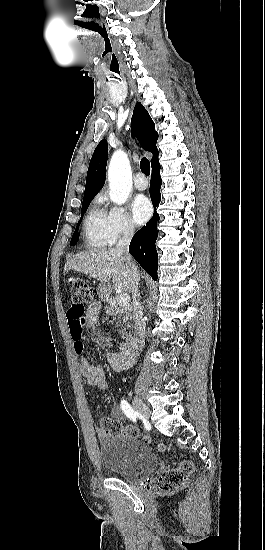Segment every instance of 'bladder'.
Instances as JSON below:
<instances>
[{
	"label": "bladder",
	"instance_id": "bladder-1",
	"mask_svg": "<svg viewBox=\"0 0 265 550\" xmlns=\"http://www.w3.org/2000/svg\"><path fill=\"white\" fill-rule=\"evenodd\" d=\"M99 455L105 469L128 482L150 475L158 465L156 453L136 438L114 436L100 446Z\"/></svg>",
	"mask_w": 265,
	"mask_h": 550
}]
</instances>
